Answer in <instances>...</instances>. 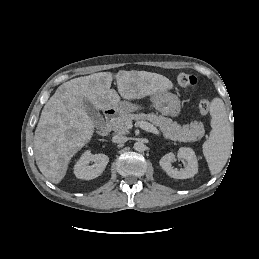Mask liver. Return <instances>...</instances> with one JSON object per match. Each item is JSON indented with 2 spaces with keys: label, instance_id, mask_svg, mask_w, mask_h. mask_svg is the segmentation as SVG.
I'll return each mask as SVG.
<instances>
[{
  "label": "liver",
  "instance_id": "obj_1",
  "mask_svg": "<svg viewBox=\"0 0 259 259\" xmlns=\"http://www.w3.org/2000/svg\"><path fill=\"white\" fill-rule=\"evenodd\" d=\"M111 72H99L74 78L60 85L45 104L34 136V155L41 173L58 184L65 177L72 157L92 138L94 122L88 115L84 99L97 110L115 107L120 96L141 99L173 88L163 75L147 71L116 74L118 93L110 89Z\"/></svg>",
  "mask_w": 259,
  "mask_h": 259
}]
</instances>
